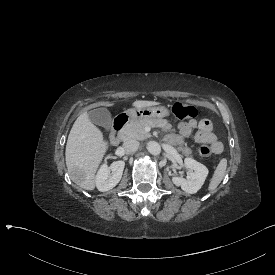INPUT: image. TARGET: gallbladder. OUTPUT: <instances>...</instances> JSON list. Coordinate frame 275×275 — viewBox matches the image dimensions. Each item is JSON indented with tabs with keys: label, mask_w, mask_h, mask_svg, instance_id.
Returning <instances> with one entry per match:
<instances>
[{
	"label": "gallbladder",
	"mask_w": 275,
	"mask_h": 275,
	"mask_svg": "<svg viewBox=\"0 0 275 275\" xmlns=\"http://www.w3.org/2000/svg\"><path fill=\"white\" fill-rule=\"evenodd\" d=\"M88 117L92 123L105 128L110 131L112 128V115L111 112L105 108H97L88 112Z\"/></svg>",
	"instance_id": "obj_1"
}]
</instances>
